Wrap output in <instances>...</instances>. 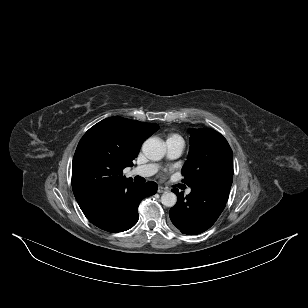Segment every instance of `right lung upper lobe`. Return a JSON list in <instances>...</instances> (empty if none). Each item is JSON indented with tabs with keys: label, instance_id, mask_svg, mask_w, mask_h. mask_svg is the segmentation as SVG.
<instances>
[{
	"label": "right lung upper lobe",
	"instance_id": "right-lung-upper-lobe-1",
	"mask_svg": "<svg viewBox=\"0 0 308 308\" xmlns=\"http://www.w3.org/2000/svg\"><path fill=\"white\" fill-rule=\"evenodd\" d=\"M158 129L157 124L114 116L84 134L72 163V189L83 212L112 202L134 184L122 171Z\"/></svg>",
	"mask_w": 308,
	"mask_h": 308
}]
</instances>
